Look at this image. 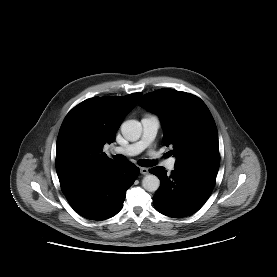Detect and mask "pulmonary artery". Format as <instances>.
I'll return each instance as SVG.
<instances>
[{
    "instance_id": "1",
    "label": "pulmonary artery",
    "mask_w": 277,
    "mask_h": 277,
    "mask_svg": "<svg viewBox=\"0 0 277 277\" xmlns=\"http://www.w3.org/2000/svg\"><path fill=\"white\" fill-rule=\"evenodd\" d=\"M141 124H142L143 131H142V136L140 140L132 144H129L125 147H116L114 148L113 151L116 153L133 156V155L139 154L140 152L148 148L155 139L157 131L160 127V120L155 115H145L141 119ZM150 155L154 159L159 158L158 153L154 151H150ZM175 164H176L175 158H169L163 161V165L169 171H172L175 169Z\"/></svg>"
}]
</instances>
